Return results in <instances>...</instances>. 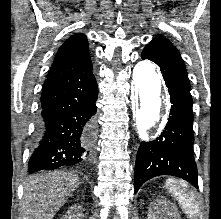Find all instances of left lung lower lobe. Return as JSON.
<instances>
[{
    "mask_svg": "<svg viewBox=\"0 0 221 219\" xmlns=\"http://www.w3.org/2000/svg\"><path fill=\"white\" fill-rule=\"evenodd\" d=\"M141 57L160 67L172 106L161 135L139 147L134 174L135 193L145 181L159 175L176 176L198 188L193 155V101L185 66L177 55L149 46L144 48Z\"/></svg>",
    "mask_w": 221,
    "mask_h": 219,
    "instance_id": "1",
    "label": "left lung lower lobe"
}]
</instances>
